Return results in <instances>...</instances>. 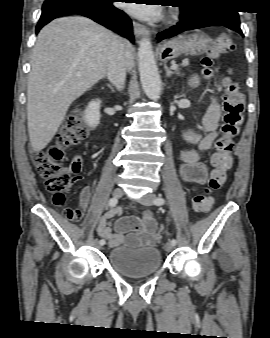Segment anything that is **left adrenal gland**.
<instances>
[{
    "mask_svg": "<svg viewBox=\"0 0 270 338\" xmlns=\"http://www.w3.org/2000/svg\"><path fill=\"white\" fill-rule=\"evenodd\" d=\"M166 71V77H170L171 75L175 74V72L171 71L167 65H164Z\"/></svg>",
    "mask_w": 270,
    "mask_h": 338,
    "instance_id": "1",
    "label": "left adrenal gland"
}]
</instances>
